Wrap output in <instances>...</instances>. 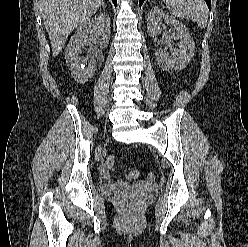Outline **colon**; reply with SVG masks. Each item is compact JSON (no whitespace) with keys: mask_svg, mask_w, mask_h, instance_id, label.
Segmentation results:
<instances>
[{"mask_svg":"<svg viewBox=\"0 0 248 247\" xmlns=\"http://www.w3.org/2000/svg\"><path fill=\"white\" fill-rule=\"evenodd\" d=\"M106 164H107V167L108 168H113L114 167V164H115V159L114 157L110 156L107 158V161H106ZM139 175V172L138 171H127L126 173V176L129 178V179H135L137 178ZM155 176L153 173H149L147 175V179L152 181L154 180Z\"/></svg>","mask_w":248,"mask_h":247,"instance_id":"1","label":"colon"}]
</instances>
